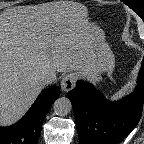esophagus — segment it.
I'll list each match as a JSON object with an SVG mask.
<instances>
[{
  "mask_svg": "<svg viewBox=\"0 0 144 144\" xmlns=\"http://www.w3.org/2000/svg\"><path fill=\"white\" fill-rule=\"evenodd\" d=\"M77 77L74 73L65 75L61 80V90L63 92H69L76 86Z\"/></svg>",
  "mask_w": 144,
  "mask_h": 144,
  "instance_id": "esophagus-1",
  "label": "esophagus"
}]
</instances>
